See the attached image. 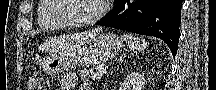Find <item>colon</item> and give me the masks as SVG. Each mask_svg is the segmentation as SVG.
<instances>
[{
    "instance_id": "5ec220e1",
    "label": "colon",
    "mask_w": 216,
    "mask_h": 90,
    "mask_svg": "<svg viewBox=\"0 0 216 90\" xmlns=\"http://www.w3.org/2000/svg\"><path fill=\"white\" fill-rule=\"evenodd\" d=\"M41 84L38 79L32 78L28 82L27 90H41Z\"/></svg>"
}]
</instances>
